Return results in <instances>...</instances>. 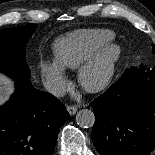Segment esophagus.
Here are the masks:
<instances>
[{"instance_id": "esophagus-1", "label": "esophagus", "mask_w": 155, "mask_h": 155, "mask_svg": "<svg viewBox=\"0 0 155 155\" xmlns=\"http://www.w3.org/2000/svg\"><path fill=\"white\" fill-rule=\"evenodd\" d=\"M67 110H68L70 115H74L78 110V106L77 105H70V106H68Z\"/></svg>"}]
</instances>
